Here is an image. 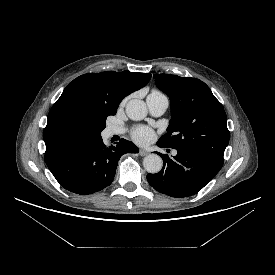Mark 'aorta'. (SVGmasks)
Segmentation results:
<instances>
[{
  "label": "aorta",
  "mask_w": 275,
  "mask_h": 275,
  "mask_svg": "<svg viewBox=\"0 0 275 275\" xmlns=\"http://www.w3.org/2000/svg\"><path fill=\"white\" fill-rule=\"evenodd\" d=\"M126 114L134 121L144 119L147 115L146 103L139 99L130 100L126 105ZM143 166L148 173L155 174L161 171L163 160L157 154H149L143 159Z\"/></svg>",
  "instance_id": "obj_1"
}]
</instances>
